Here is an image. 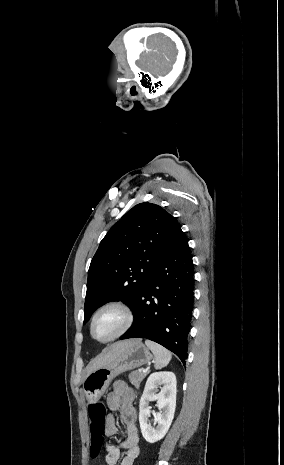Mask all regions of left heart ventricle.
Wrapping results in <instances>:
<instances>
[{
    "label": "left heart ventricle",
    "instance_id": "obj_1",
    "mask_svg": "<svg viewBox=\"0 0 284 465\" xmlns=\"http://www.w3.org/2000/svg\"><path fill=\"white\" fill-rule=\"evenodd\" d=\"M122 326L121 313L115 310H105L97 316L92 334L96 339H107L118 333Z\"/></svg>",
    "mask_w": 284,
    "mask_h": 465
}]
</instances>
